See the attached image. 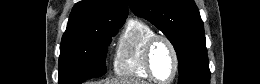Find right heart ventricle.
<instances>
[{"mask_svg":"<svg viewBox=\"0 0 260 84\" xmlns=\"http://www.w3.org/2000/svg\"><path fill=\"white\" fill-rule=\"evenodd\" d=\"M154 30L144 21L132 18L123 29L113 57V69L116 75L150 79L145 69V47Z\"/></svg>","mask_w":260,"mask_h":84,"instance_id":"e07e8e85","label":"right heart ventricle"}]
</instances>
